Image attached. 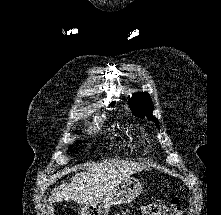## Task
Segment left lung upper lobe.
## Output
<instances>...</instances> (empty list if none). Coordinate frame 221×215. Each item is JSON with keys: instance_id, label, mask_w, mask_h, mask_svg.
<instances>
[{"instance_id": "5c2ea615", "label": "left lung upper lobe", "mask_w": 221, "mask_h": 215, "mask_svg": "<svg viewBox=\"0 0 221 215\" xmlns=\"http://www.w3.org/2000/svg\"><path fill=\"white\" fill-rule=\"evenodd\" d=\"M129 102L135 115L139 116L140 118L147 117L148 120L155 122V124L159 127V122L152 114V101L148 93H137Z\"/></svg>"}]
</instances>
